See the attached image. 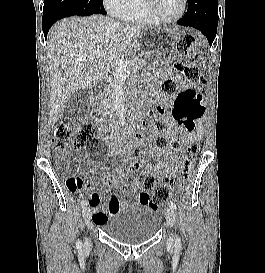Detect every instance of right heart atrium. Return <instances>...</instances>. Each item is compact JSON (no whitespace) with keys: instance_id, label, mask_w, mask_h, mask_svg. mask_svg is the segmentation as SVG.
Listing matches in <instances>:
<instances>
[{"instance_id":"obj_1","label":"right heart atrium","mask_w":265,"mask_h":273,"mask_svg":"<svg viewBox=\"0 0 265 273\" xmlns=\"http://www.w3.org/2000/svg\"><path fill=\"white\" fill-rule=\"evenodd\" d=\"M128 3L129 0H103L105 9L114 16H119Z\"/></svg>"}]
</instances>
